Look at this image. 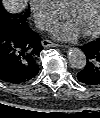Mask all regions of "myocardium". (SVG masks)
I'll list each match as a JSON object with an SVG mask.
<instances>
[{
	"label": "myocardium",
	"instance_id": "myocardium-1",
	"mask_svg": "<svg viewBox=\"0 0 100 118\" xmlns=\"http://www.w3.org/2000/svg\"><path fill=\"white\" fill-rule=\"evenodd\" d=\"M84 1L85 0H73L65 9V16L69 17L70 13L73 12L78 7H80L84 3ZM99 32H100V8H99L98 19L95 27L89 31L82 32V34L85 37H93L96 36Z\"/></svg>",
	"mask_w": 100,
	"mask_h": 118
}]
</instances>
